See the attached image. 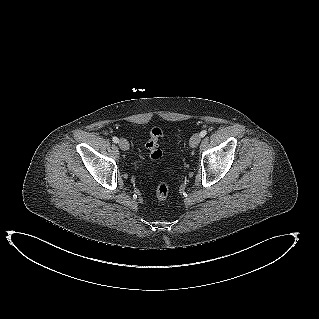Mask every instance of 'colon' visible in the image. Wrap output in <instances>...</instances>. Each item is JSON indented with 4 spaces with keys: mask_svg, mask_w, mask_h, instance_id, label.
<instances>
[{
    "mask_svg": "<svg viewBox=\"0 0 319 319\" xmlns=\"http://www.w3.org/2000/svg\"><path fill=\"white\" fill-rule=\"evenodd\" d=\"M163 136V131L159 127H153L149 131V138L145 144L149 152V157L153 162L160 161L163 157V152L160 149L159 141ZM155 194L159 200H165L169 194V184L165 179H161L156 187Z\"/></svg>",
    "mask_w": 319,
    "mask_h": 319,
    "instance_id": "1",
    "label": "colon"
}]
</instances>
